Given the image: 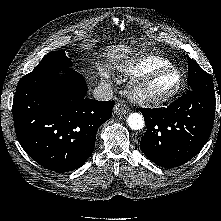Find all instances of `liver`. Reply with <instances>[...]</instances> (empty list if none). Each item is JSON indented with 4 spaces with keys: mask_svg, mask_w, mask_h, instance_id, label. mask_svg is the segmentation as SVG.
<instances>
[{
    "mask_svg": "<svg viewBox=\"0 0 221 221\" xmlns=\"http://www.w3.org/2000/svg\"><path fill=\"white\" fill-rule=\"evenodd\" d=\"M107 57L112 65H126L129 64V58H134L133 48L124 44L112 45L107 49Z\"/></svg>",
    "mask_w": 221,
    "mask_h": 221,
    "instance_id": "6515ba94",
    "label": "liver"
}]
</instances>
